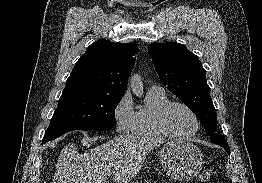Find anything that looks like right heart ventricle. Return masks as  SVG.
Returning <instances> with one entry per match:
<instances>
[{"instance_id": "right-heart-ventricle-1", "label": "right heart ventricle", "mask_w": 262, "mask_h": 183, "mask_svg": "<svg viewBox=\"0 0 262 183\" xmlns=\"http://www.w3.org/2000/svg\"><path fill=\"white\" fill-rule=\"evenodd\" d=\"M170 102L171 100L164 90L149 89L144 105L135 113L133 134L144 138L168 137L160 129L158 118L162 109Z\"/></svg>"}]
</instances>
